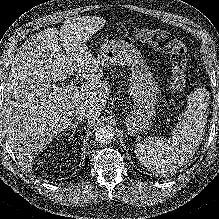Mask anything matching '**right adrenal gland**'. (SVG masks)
I'll list each match as a JSON object with an SVG mask.
<instances>
[{"label":"right adrenal gland","mask_w":219,"mask_h":219,"mask_svg":"<svg viewBox=\"0 0 219 219\" xmlns=\"http://www.w3.org/2000/svg\"><path fill=\"white\" fill-rule=\"evenodd\" d=\"M80 122H82V120H79V119L76 120L75 123L71 124V126H69V127H67L65 129V132L69 131L70 129H72L71 137H73L75 132H76V130H77V128L79 127ZM68 134H70V132H68Z\"/></svg>","instance_id":"right-adrenal-gland-1"}]
</instances>
